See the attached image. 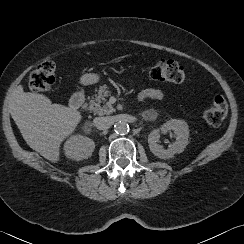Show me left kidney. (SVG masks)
<instances>
[{
	"instance_id": "1",
	"label": "left kidney",
	"mask_w": 244,
	"mask_h": 244,
	"mask_svg": "<svg viewBox=\"0 0 244 244\" xmlns=\"http://www.w3.org/2000/svg\"><path fill=\"white\" fill-rule=\"evenodd\" d=\"M172 130L175 134V142L170 144L167 149L158 144L160 132L166 133ZM189 143L188 124L180 119H171L164 123L160 128L154 129L148 135L150 151L160 159H170L177 153L184 151Z\"/></svg>"
}]
</instances>
